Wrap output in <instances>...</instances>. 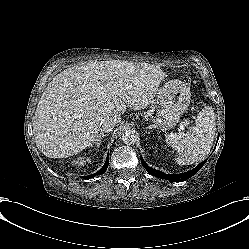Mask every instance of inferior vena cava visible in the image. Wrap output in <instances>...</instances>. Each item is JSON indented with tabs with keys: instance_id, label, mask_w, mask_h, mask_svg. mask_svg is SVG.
<instances>
[{
	"instance_id": "1",
	"label": "inferior vena cava",
	"mask_w": 249,
	"mask_h": 249,
	"mask_svg": "<svg viewBox=\"0 0 249 249\" xmlns=\"http://www.w3.org/2000/svg\"><path fill=\"white\" fill-rule=\"evenodd\" d=\"M117 123H118V120L114 119V118L113 119L104 120L101 123V131H102V133H108V132L112 131V129L115 127V125Z\"/></svg>"
}]
</instances>
